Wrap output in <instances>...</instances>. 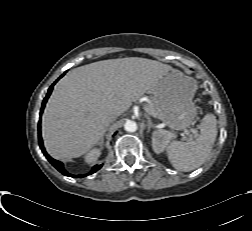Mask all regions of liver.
Instances as JSON below:
<instances>
[{"instance_id": "liver-1", "label": "liver", "mask_w": 252, "mask_h": 231, "mask_svg": "<svg viewBox=\"0 0 252 231\" xmlns=\"http://www.w3.org/2000/svg\"><path fill=\"white\" fill-rule=\"evenodd\" d=\"M169 69L155 60L129 57L69 71L54 88L42 116L47 152L57 160L86 154L103 138L107 117L127 111Z\"/></svg>"}]
</instances>
